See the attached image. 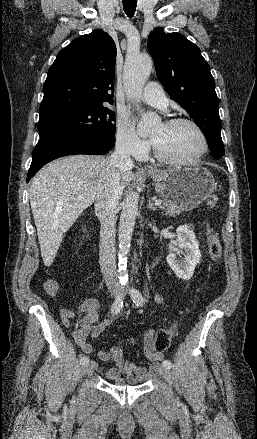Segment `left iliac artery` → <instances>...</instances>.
<instances>
[{
    "mask_svg": "<svg viewBox=\"0 0 257 439\" xmlns=\"http://www.w3.org/2000/svg\"><path fill=\"white\" fill-rule=\"evenodd\" d=\"M127 288L129 290V294H130L133 302L137 306H142L144 303L142 294L134 287L127 286ZM162 366L167 368V369H170L172 367V363L169 360H164L162 363Z\"/></svg>",
    "mask_w": 257,
    "mask_h": 439,
    "instance_id": "44dca946",
    "label": "left iliac artery"
}]
</instances>
